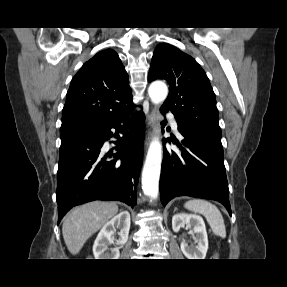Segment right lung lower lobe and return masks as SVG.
Instances as JSON below:
<instances>
[{
  "label": "right lung lower lobe",
  "mask_w": 287,
  "mask_h": 287,
  "mask_svg": "<svg viewBox=\"0 0 287 287\" xmlns=\"http://www.w3.org/2000/svg\"><path fill=\"white\" fill-rule=\"evenodd\" d=\"M145 116L134 106L92 125L90 131L61 138L57 172L58 224L74 206L93 200H118L134 207L143 158ZM115 128L113 133L111 129ZM121 134V136L119 135ZM115 136L118 153L103 144Z\"/></svg>",
  "instance_id": "obj_1"
}]
</instances>
